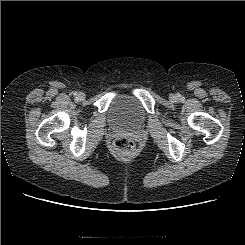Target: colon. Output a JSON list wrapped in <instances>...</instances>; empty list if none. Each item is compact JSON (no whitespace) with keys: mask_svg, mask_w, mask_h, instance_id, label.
Segmentation results:
<instances>
[{"mask_svg":"<svg viewBox=\"0 0 245 245\" xmlns=\"http://www.w3.org/2000/svg\"><path fill=\"white\" fill-rule=\"evenodd\" d=\"M115 148L119 152L129 153L134 149V142L129 138H118L114 143Z\"/></svg>","mask_w":245,"mask_h":245,"instance_id":"1","label":"colon"}]
</instances>
